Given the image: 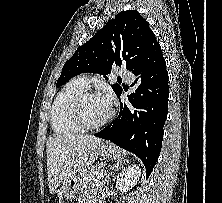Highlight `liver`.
<instances>
[{
    "label": "liver",
    "instance_id": "obj_1",
    "mask_svg": "<svg viewBox=\"0 0 222 203\" xmlns=\"http://www.w3.org/2000/svg\"><path fill=\"white\" fill-rule=\"evenodd\" d=\"M101 140L94 136L57 134L46 142L49 191L77 172L90 167L97 157Z\"/></svg>",
    "mask_w": 222,
    "mask_h": 203
}]
</instances>
